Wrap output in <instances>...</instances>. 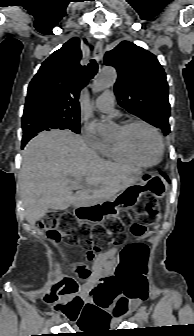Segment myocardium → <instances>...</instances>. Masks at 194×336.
I'll return each mask as SVG.
<instances>
[{
    "instance_id": "myocardium-1",
    "label": "myocardium",
    "mask_w": 194,
    "mask_h": 336,
    "mask_svg": "<svg viewBox=\"0 0 194 336\" xmlns=\"http://www.w3.org/2000/svg\"><path fill=\"white\" fill-rule=\"evenodd\" d=\"M134 126H144L146 128H148L149 130H151L159 143V157L156 161L154 162H145L143 160H141L136 153L132 150V148L130 147V145L128 144L127 140L125 138L121 139L120 141H117L116 143L120 146V148L129 156L131 157L134 161H136L137 163L141 164L142 166L145 167H154L156 165H158L163 156H164V151H165V146H164V141H163V137L161 135V133L158 131V129L153 126L152 124L143 121V120H129L127 122H125L123 124V126L121 127V130L126 133L128 130H130L132 127Z\"/></svg>"
}]
</instances>
